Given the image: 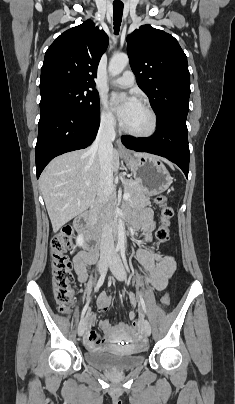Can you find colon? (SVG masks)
<instances>
[{
    "label": "colon",
    "mask_w": 235,
    "mask_h": 404,
    "mask_svg": "<svg viewBox=\"0 0 235 404\" xmlns=\"http://www.w3.org/2000/svg\"><path fill=\"white\" fill-rule=\"evenodd\" d=\"M155 201L161 212V222L156 231V238L160 243H165L169 239L170 220L174 211L165 195L157 196ZM73 244L74 234L69 226L64 227L60 233L56 234L50 243L53 295L59 311L62 313L69 312L74 300L73 274L68 257V252ZM169 304L170 294L165 293L161 299V305L167 307ZM138 325L139 322L134 321L133 326L138 327Z\"/></svg>",
    "instance_id": "5ec220e1"
}]
</instances>
